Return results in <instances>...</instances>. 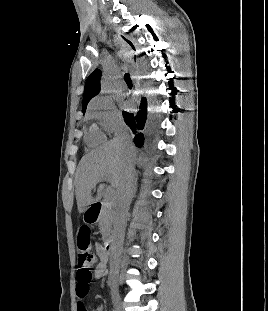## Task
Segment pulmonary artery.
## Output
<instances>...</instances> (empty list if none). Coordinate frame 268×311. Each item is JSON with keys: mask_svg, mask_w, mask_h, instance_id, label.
Instances as JSON below:
<instances>
[{"mask_svg": "<svg viewBox=\"0 0 268 311\" xmlns=\"http://www.w3.org/2000/svg\"><path fill=\"white\" fill-rule=\"evenodd\" d=\"M117 87H118L119 89H124V88H125V85H124L121 81H119Z\"/></svg>", "mask_w": 268, "mask_h": 311, "instance_id": "1", "label": "pulmonary artery"}]
</instances>
